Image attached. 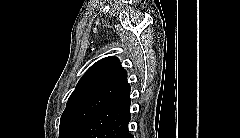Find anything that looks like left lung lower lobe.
Here are the masks:
<instances>
[{"label":"left lung lower lobe","mask_w":240,"mask_h":138,"mask_svg":"<svg viewBox=\"0 0 240 138\" xmlns=\"http://www.w3.org/2000/svg\"><path fill=\"white\" fill-rule=\"evenodd\" d=\"M130 90L126 77L79 138H133L127 128L131 119Z\"/></svg>","instance_id":"1"}]
</instances>
